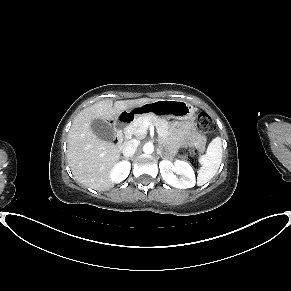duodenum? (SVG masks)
<instances>
[{
  "label": "duodenum",
  "mask_w": 291,
  "mask_h": 291,
  "mask_svg": "<svg viewBox=\"0 0 291 291\" xmlns=\"http://www.w3.org/2000/svg\"><path fill=\"white\" fill-rule=\"evenodd\" d=\"M140 113V109L135 108L119 122L117 131L121 143H125L129 139L130 134L127 127L135 120L136 115Z\"/></svg>",
  "instance_id": "duodenum-1"
}]
</instances>
